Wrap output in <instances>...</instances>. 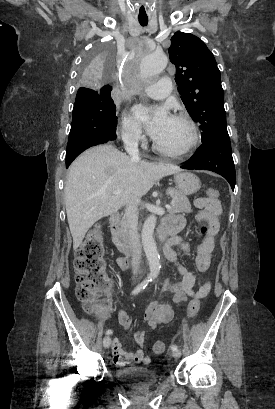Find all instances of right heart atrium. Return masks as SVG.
I'll return each mask as SVG.
<instances>
[{
  "label": "right heart atrium",
  "mask_w": 275,
  "mask_h": 409,
  "mask_svg": "<svg viewBox=\"0 0 275 409\" xmlns=\"http://www.w3.org/2000/svg\"><path fill=\"white\" fill-rule=\"evenodd\" d=\"M120 134L122 140L129 145H138L144 139L142 125L128 113H123L121 117Z\"/></svg>",
  "instance_id": "right-heart-atrium-1"
}]
</instances>
